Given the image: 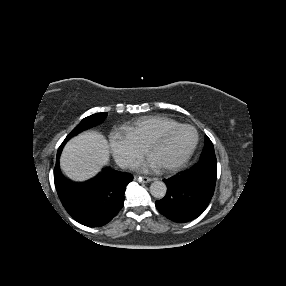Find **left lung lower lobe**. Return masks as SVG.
Here are the masks:
<instances>
[{"instance_id":"0a47b994","label":"left lung lower lobe","mask_w":286,"mask_h":286,"mask_svg":"<svg viewBox=\"0 0 286 286\" xmlns=\"http://www.w3.org/2000/svg\"><path fill=\"white\" fill-rule=\"evenodd\" d=\"M216 156L200 159L190 169L164 179L167 193L155 205L159 212L176 222L199 217L207 208L215 189Z\"/></svg>"}]
</instances>
